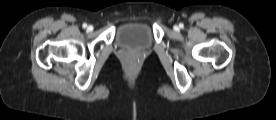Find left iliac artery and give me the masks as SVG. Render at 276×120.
I'll use <instances>...</instances> for the list:
<instances>
[{
	"mask_svg": "<svg viewBox=\"0 0 276 120\" xmlns=\"http://www.w3.org/2000/svg\"><path fill=\"white\" fill-rule=\"evenodd\" d=\"M179 27H180V28H183V27H184V25H183L182 23H180V24H179Z\"/></svg>",
	"mask_w": 276,
	"mask_h": 120,
	"instance_id": "44dca946",
	"label": "left iliac artery"
}]
</instances>
